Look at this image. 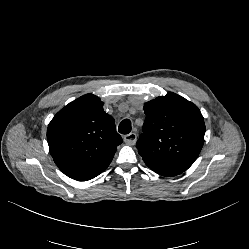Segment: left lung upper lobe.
Instances as JSON below:
<instances>
[{
  "instance_id": "5c2ea615",
  "label": "left lung upper lobe",
  "mask_w": 249,
  "mask_h": 249,
  "mask_svg": "<svg viewBox=\"0 0 249 249\" xmlns=\"http://www.w3.org/2000/svg\"><path fill=\"white\" fill-rule=\"evenodd\" d=\"M146 119L136 147L148 167L183 172L204 144L205 124L198 107L169 92L144 104Z\"/></svg>"
}]
</instances>
